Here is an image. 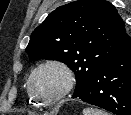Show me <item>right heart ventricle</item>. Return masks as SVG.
Segmentation results:
<instances>
[{"mask_svg": "<svg viewBox=\"0 0 131 115\" xmlns=\"http://www.w3.org/2000/svg\"><path fill=\"white\" fill-rule=\"evenodd\" d=\"M29 95V94H28ZM29 98L32 102H36L34 99L31 98V96L29 95Z\"/></svg>", "mask_w": 131, "mask_h": 115, "instance_id": "e07e8e85", "label": "right heart ventricle"}]
</instances>
